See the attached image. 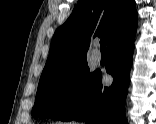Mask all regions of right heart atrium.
<instances>
[{"instance_id": "obj_1", "label": "right heart atrium", "mask_w": 156, "mask_h": 124, "mask_svg": "<svg viewBox=\"0 0 156 124\" xmlns=\"http://www.w3.org/2000/svg\"><path fill=\"white\" fill-rule=\"evenodd\" d=\"M76 90H77V85L71 87V89L69 90V97H72L75 94Z\"/></svg>"}]
</instances>
